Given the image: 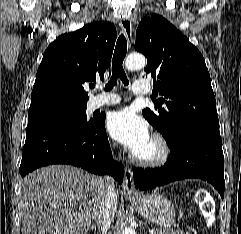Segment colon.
<instances>
[{
  "mask_svg": "<svg viewBox=\"0 0 241 234\" xmlns=\"http://www.w3.org/2000/svg\"><path fill=\"white\" fill-rule=\"evenodd\" d=\"M198 200L201 203L202 210L205 213H210L213 209L212 201L205 192H200L198 195Z\"/></svg>",
  "mask_w": 241,
  "mask_h": 234,
  "instance_id": "5ec220e1",
  "label": "colon"
}]
</instances>
